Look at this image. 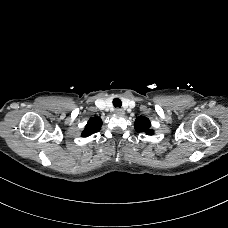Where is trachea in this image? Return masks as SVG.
<instances>
[{
    "label": "trachea",
    "mask_w": 228,
    "mask_h": 228,
    "mask_svg": "<svg viewBox=\"0 0 228 228\" xmlns=\"http://www.w3.org/2000/svg\"><path fill=\"white\" fill-rule=\"evenodd\" d=\"M113 105H114V107H121L122 102H121L120 99L115 98V99L113 100Z\"/></svg>",
    "instance_id": "3493384b"
}]
</instances>
